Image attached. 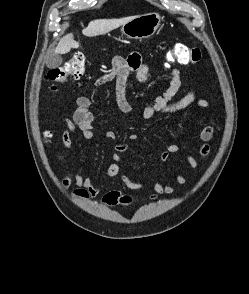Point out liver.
Returning <instances> with one entry per match:
<instances>
[{"mask_svg":"<svg viewBox=\"0 0 249 294\" xmlns=\"http://www.w3.org/2000/svg\"><path fill=\"white\" fill-rule=\"evenodd\" d=\"M136 16H129L120 19H98L91 21L88 26L83 29V35L87 37H94L98 35L106 34L132 20ZM71 48H79V43L73 38V34L69 33L65 35L58 43L55 53L66 54Z\"/></svg>","mask_w":249,"mask_h":294,"instance_id":"1","label":"liver"}]
</instances>
